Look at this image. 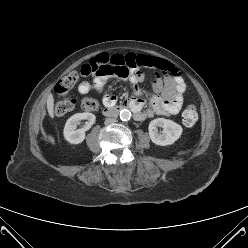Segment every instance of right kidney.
I'll use <instances>...</instances> for the list:
<instances>
[{
  "label": "right kidney",
  "instance_id": "1",
  "mask_svg": "<svg viewBox=\"0 0 248 248\" xmlns=\"http://www.w3.org/2000/svg\"><path fill=\"white\" fill-rule=\"evenodd\" d=\"M95 115L92 113H77L71 116L64 127V138L71 144H79L83 142L86 135L85 132L95 123ZM81 120H87L85 126L81 129H77V125Z\"/></svg>",
  "mask_w": 248,
  "mask_h": 248
}]
</instances>
